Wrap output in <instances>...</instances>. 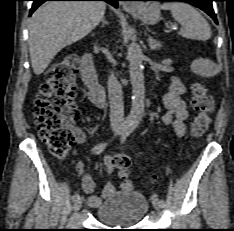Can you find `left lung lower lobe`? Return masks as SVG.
I'll list each match as a JSON object with an SVG mask.
<instances>
[{"label": "left lung lower lobe", "mask_w": 234, "mask_h": 231, "mask_svg": "<svg viewBox=\"0 0 234 231\" xmlns=\"http://www.w3.org/2000/svg\"><path fill=\"white\" fill-rule=\"evenodd\" d=\"M140 1H183V2H187L205 11L217 23V18L212 8V1L214 0H140Z\"/></svg>", "instance_id": "obj_1"}]
</instances>
